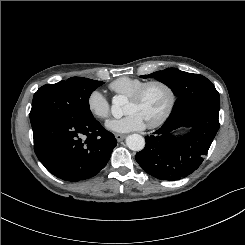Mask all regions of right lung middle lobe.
Masks as SVG:
<instances>
[{
  "instance_id": "obj_1",
  "label": "right lung middle lobe",
  "mask_w": 245,
  "mask_h": 245,
  "mask_svg": "<svg viewBox=\"0 0 245 245\" xmlns=\"http://www.w3.org/2000/svg\"><path fill=\"white\" fill-rule=\"evenodd\" d=\"M102 84L101 81L72 77L40 87L32 101L31 125L45 117H57L70 122L93 119L88 99Z\"/></svg>"
}]
</instances>
